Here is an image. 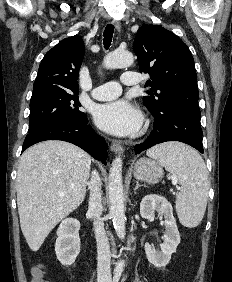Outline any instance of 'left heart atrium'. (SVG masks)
<instances>
[{"label": "left heart atrium", "mask_w": 232, "mask_h": 282, "mask_svg": "<svg viewBox=\"0 0 232 282\" xmlns=\"http://www.w3.org/2000/svg\"><path fill=\"white\" fill-rule=\"evenodd\" d=\"M97 126L114 135H128L141 124L140 112L126 100L101 104L94 111Z\"/></svg>", "instance_id": "1"}]
</instances>
